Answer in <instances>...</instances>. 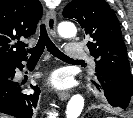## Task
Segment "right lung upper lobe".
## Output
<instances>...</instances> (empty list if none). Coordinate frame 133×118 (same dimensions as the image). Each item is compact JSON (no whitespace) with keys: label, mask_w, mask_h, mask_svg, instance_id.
<instances>
[{"label":"right lung upper lobe","mask_w":133,"mask_h":118,"mask_svg":"<svg viewBox=\"0 0 133 118\" xmlns=\"http://www.w3.org/2000/svg\"><path fill=\"white\" fill-rule=\"evenodd\" d=\"M41 15L38 0H0V67L27 59V44L17 40L35 33Z\"/></svg>","instance_id":"1"}]
</instances>
